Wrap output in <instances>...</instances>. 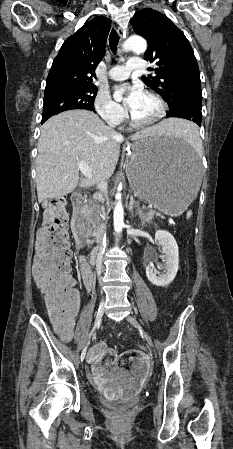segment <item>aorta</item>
Returning <instances> with one entry per match:
<instances>
[{
    "instance_id": "762f6f07",
    "label": "aorta",
    "mask_w": 233,
    "mask_h": 449,
    "mask_svg": "<svg viewBox=\"0 0 233 449\" xmlns=\"http://www.w3.org/2000/svg\"><path fill=\"white\" fill-rule=\"evenodd\" d=\"M146 49H147L146 41L139 36H132L128 38L127 41L122 46L123 51H133L137 54L144 53ZM114 99L120 100L121 95L119 93H115ZM113 219H114V230L117 234H120L124 226V210L121 202L120 193L116 195V203L113 213Z\"/></svg>"
}]
</instances>
